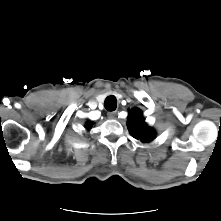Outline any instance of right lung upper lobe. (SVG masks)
Returning <instances> with one entry per match:
<instances>
[{"label":"right lung upper lobe","mask_w":221,"mask_h":221,"mask_svg":"<svg viewBox=\"0 0 221 221\" xmlns=\"http://www.w3.org/2000/svg\"><path fill=\"white\" fill-rule=\"evenodd\" d=\"M92 126H93V122H88V123L86 124V128H87V129H90Z\"/></svg>","instance_id":"cb5924a9"}]
</instances>
